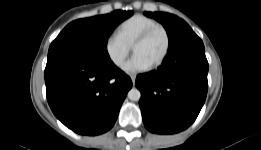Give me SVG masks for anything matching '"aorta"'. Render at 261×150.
Returning <instances> with one entry per match:
<instances>
[{
  "label": "aorta",
  "instance_id": "obj_1",
  "mask_svg": "<svg viewBox=\"0 0 261 150\" xmlns=\"http://www.w3.org/2000/svg\"><path fill=\"white\" fill-rule=\"evenodd\" d=\"M128 98L132 101H138L141 97V93L137 88H132L129 92H128Z\"/></svg>",
  "mask_w": 261,
  "mask_h": 150
}]
</instances>
